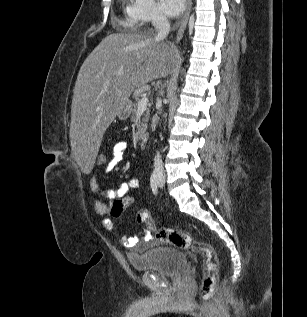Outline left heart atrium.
I'll return each mask as SVG.
<instances>
[{
    "label": "left heart atrium",
    "instance_id": "left-heart-atrium-1",
    "mask_svg": "<svg viewBox=\"0 0 307 317\" xmlns=\"http://www.w3.org/2000/svg\"><path fill=\"white\" fill-rule=\"evenodd\" d=\"M186 0H159V8L166 16H178L185 7Z\"/></svg>",
    "mask_w": 307,
    "mask_h": 317
}]
</instances>
